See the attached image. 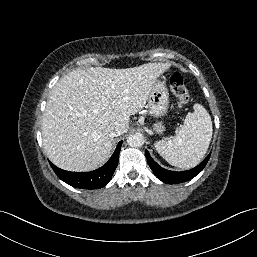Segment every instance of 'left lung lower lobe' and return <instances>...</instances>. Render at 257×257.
Returning <instances> with one entry per match:
<instances>
[{
    "mask_svg": "<svg viewBox=\"0 0 257 257\" xmlns=\"http://www.w3.org/2000/svg\"><path fill=\"white\" fill-rule=\"evenodd\" d=\"M145 155L147 158V162L154 172V174L164 183L167 184H178L182 182H186L192 178H194L196 175H198L203 168L206 166L210 154L195 168L187 171H182V172H175V171H170L166 170L162 167H160L150 156L149 152L146 150Z\"/></svg>",
    "mask_w": 257,
    "mask_h": 257,
    "instance_id": "1",
    "label": "left lung lower lobe"
}]
</instances>
